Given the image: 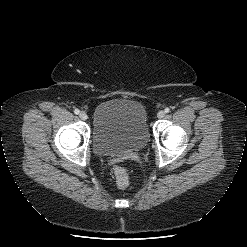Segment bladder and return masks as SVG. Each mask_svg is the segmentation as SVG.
I'll list each match as a JSON object with an SVG mask.
<instances>
[{
  "mask_svg": "<svg viewBox=\"0 0 247 247\" xmlns=\"http://www.w3.org/2000/svg\"><path fill=\"white\" fill-rule=\"evenodd\" d=\"M147 111L134 99L115 98L94 110L92 145L100 156H124L142 150L149 140Z\"/></svg>",
  "mask_w": 247,
  "mask_h": 247,
  "instance_id": "bladder-1",
  "label": "bladder"
}]
</instances>
